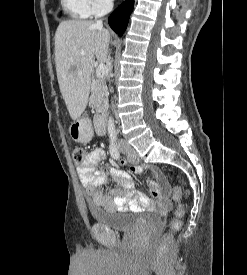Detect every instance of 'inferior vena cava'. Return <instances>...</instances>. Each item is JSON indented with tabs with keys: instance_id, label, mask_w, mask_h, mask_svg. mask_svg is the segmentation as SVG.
Segmentation results:
<instances>
[{
	"instance_id": "602c4592",
	"label": "inferior vena cava",
	"mask_w": 247,
	"mask_h": 275,
	"mask_svg": "<svg viewBox=\"0 0 247 275\" xmlns=\"http://www.w3.org/2000/svg\"><path fill=\"white\" fill-rule=\"evenodd\" d=\"M97 25L101 26V25H102V20H98V21H97ZM107 64H108L109 66H111V58H110V56H108V58H107ZM110 91H111V92L113 91L112 88L110 89ZM112 107H113V102H112ZM115 135H117V132H116Z\"/></svg>"
}]
</instances>
